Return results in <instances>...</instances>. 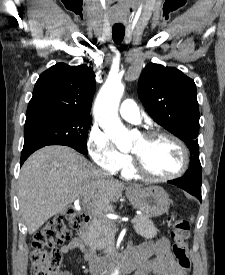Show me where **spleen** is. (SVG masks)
Instances as JSON below:
<instances>
[{
  "label": "spleen",
  "instance_id": "1",
  "mask_svg": "<svg viewBox=\"0 0 225 275\" xmlns=\"http://www.w3.org/2000/svg\"><path fill=\"white\" fill-rule=\"evenodd\" d=\"M193 220H194V218L192 217V218H191V221H193Z\"/></svg>",
  "mask_w": 225,
  "mask_h": 275
}]
</instances>
